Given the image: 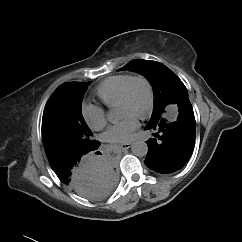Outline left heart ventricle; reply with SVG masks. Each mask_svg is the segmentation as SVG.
I'll list each match as a JSON object with an SVG mask.
<instances>
[{
  "label": "left heart ventricle",
  "mask_w": 242,
  "mask_h": 242,
  "mask_svg": "<svg viewBox=\"0 0 242 242\" xmlns=\"http://www.w3.org/2000/svg\"><path fill=\"white\" fill-rule=\"evenodd\" d=\"M147 100L148 94L145 84L141 81L135 82L131 88L128 102L117 106L119 116L123 117L125 114L137 116L145 109Z\"/></svg>",
  "instance_id": "1"
}]
</instances>
